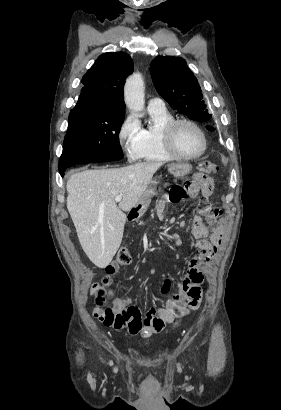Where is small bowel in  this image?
<instances>
[{"mask_svg":"<svg viewBox=\"0 0 281 410\" xmlns=\"http://www.w3.org/2000/svg\"><path fill=\"white\" fill-rule=\"evenodd\" d=\"M214 182L210 177L196 174L193 179L192 195L200 192L205 198H208L213 192ZM169 199L164 196L157 204V215L160 220H163ZM205 213V210L200 209L198 214L193 215L191 223V234L196 239H199L198 254L195 255L188 264L187 272L185 273L180 285L179 291L167 298L165 307L151 308L143 319L141 315L137 317L139 325L136 329H129L132 335L141 334L143 337H149L154 333L163 330L166 323L171 322L177 315H180L184 310L190 307V301L193 296H198L201 300L200 286L203 283L204 275L202 266L216 255L219 245L222 240V228L217 220V215L213 213ZM106 276L102 283L107 288L112 285L113 276L119 271V265L111 263L105 268ZM171 287V279L167 278L160 287V293L167 295ZM112 294V292H111ZM101 302H96L94 309L95 315L103 310ZM116 312L126 313L129 310H138L137 307L131 305L130 299H122L115 297L113 299V308ZM136 317H131L130 321H134Z\"/></svg>","mask_w":281,"mask_h":410,"instance_id":"obj_1","label":"small bowel"}]
</instances>
